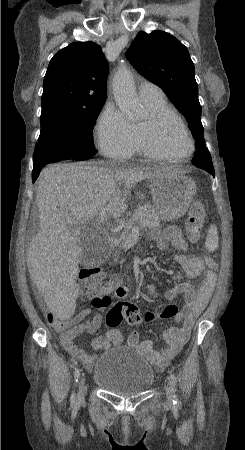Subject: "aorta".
Here are the masks:
<instances>
[{"mask_svg":"<svg viewBox=\"0 0 245 450\" xmlns=\"http://www.w3.org/2000/svg\"><path fill=\"white\" fill-rule=\"evenodd\" d=\"M113 94L119 109L131 122L140 120L143 110L136 97L133 75L125 66L120 67L114 76Z\"/></svg>","mask_w":245,"mask_h":450,"instance_id":"obj_1","label":"aorta"}]
</instances>
